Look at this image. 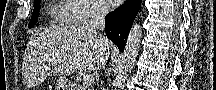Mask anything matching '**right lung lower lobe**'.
<instances>
[{"instance_id":"obj_1","label":"right lung lower lobe","mask_w":216,"mask_h":90,"mask_svg":"<svg viewBox=\"0 0 216 90\" xmlns=\"http://www.w3.org/2000/svg\"><path fill=\"white\" fill-rule=\"evenodd\" d=\"M141 2V0H127L122 6L106 15V35L122 52Z\"/></svg>"}]
</instances>
